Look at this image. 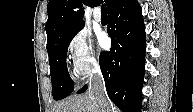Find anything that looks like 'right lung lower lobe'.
Listing matches in <instances>:
<instances>
[{"mask_svg": "<svg viewBox=\"0 0 193 112\" xmlns=\"http://www.w3.org/2000/svg\"><path fill=\"white\" fill-rule=\"evenodd\" d=\"M111 49L100 68L110 99L123 112H140L145 66V25L137 0H122L108 13ZM87 90L84 85L77 93Z\"/></svg>", "mask_w": 193, "mask_h": 112, "instance_id": "98d812e1", "label": "right lung lower lobe"}]
</instances>
